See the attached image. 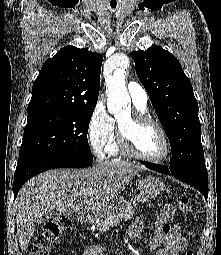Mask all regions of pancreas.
Returning a JSON list of instances; mask_svg holds the SVG:
<instances>
[{"mask_svg":"<svg viewBox=\"0 0 221 255\" xmlns=\"http://www.w3.org/2000/svg\"><path fill=\"white\" fill-rule=\"evenodd\" d=\"M140 198L137 199H129L124 201L123 209L120 212H107L105 216H103L95 226L99 231L109 230L112 226L117 225L122 220H128L133 217L134 207L136 202L139 201Z\"/></svg>","mask_w":221,"mask_h":255,"instance_id":"1","label":"pancreas"}]
</instances>
